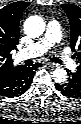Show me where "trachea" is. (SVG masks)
Masks as SVG:
<instances>
[{
  "label": "trachea",
  "mask_w": 81,
  "mask_h": 124,
  "mask_svg": "<svg viewBox=\"0 0 81 124\" xmlns=\"http://www.w3.org/2000/svg\"><path fill=\"white\" fill-rule=\"evenodd\" d=\"M51 60H52L53 62H55V63H59V64L62 63V61H61L60 59L56 58V57H53Z\"/></svg>",
  "instance_id": "3493384b"
}]
</instances>
